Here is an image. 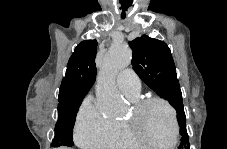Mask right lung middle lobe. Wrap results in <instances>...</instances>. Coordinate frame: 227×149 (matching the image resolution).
<instances>
[{"label":"right lung middle lobe","instance_id":"obj_1","mask_svg":"<svg viewBox=\"0 0 227 149\" xmlns=\"http://www.w3.org/2000/svg\"><path fill=\"white\" fill-rule=\"evenodd\" d=\"M83 99L72 102L58 104V122L55 126V137L52 141L53 146H68L73 143V127L76 114Z\"/></svg>","mask_w":227,"mask_h":149}]
</instances>
